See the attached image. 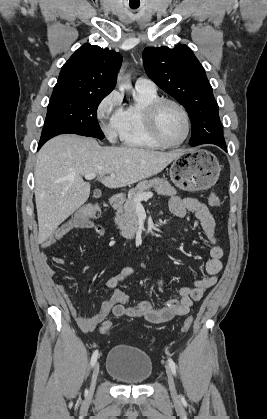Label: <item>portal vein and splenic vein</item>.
I'll list each match as a JSON object with an SVG mask.
<instances>
[{
    "mask_svg": "<svg viewBox=\"0 0 267 419\" xmlns=\"http://www.w3.org/2000/svg\"><path fill=\"white\" fill-rule=\"evenodd\" d=\"M110 176L114 177L115 174L112 173ZM95 177H96V174H94V173L84 175V178L87 179V180H91ZM152 196H153L152 192H147V193H144V194L137 195L136 198H135V202H136L137 206H141V201L148 200Z\"/></svg>",
    "mask_w": 267,
    "mask_h": 419,
    "instance_id": "18ae733b",
    "label": "portal vein and splenic vein"
}]
</instances>
